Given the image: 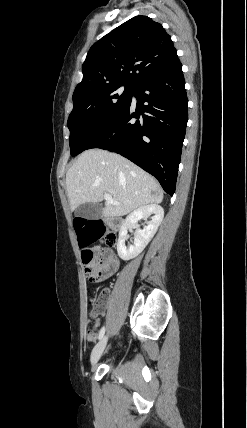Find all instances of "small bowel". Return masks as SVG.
<instances>
[{
  "mask_svg": "<svg viewBox=\"0 0 247 428\" xmlns=\"http://www.w3.org/2000/svg\"><path fill=\"white\" fill-rule=\"evenodd\" d=\"M100 255L105 259V264L98 275V281L105 280L112 276L119 267V260L114 254V252L110 249H103ZM106 306V297L103 296L96 308V312L94 315L101 314ZM96 324H99V320H97ZM97 334L92 332L86 335V340L90 343L95 342Z\"/></svg>",
  "mask_w": 247,
  "mask_h": 428,
  "instance_id": "small-bowel-1",
  "label": "small bowel"
}]
</instances>
